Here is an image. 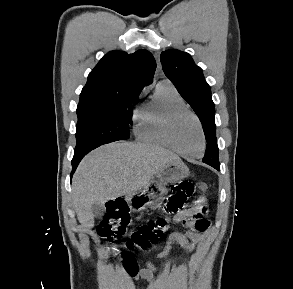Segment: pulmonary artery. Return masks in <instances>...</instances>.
<instances>
[{
	"mask_svg": "<svg viewBox=\"0 0 293 289\" xmlns=\"http://www.w3.org/2000/svg\"><path fill=\"white\" fill-rule=\"evenodd\" d=\"M165 82H167V81H163V82H161V83H165ZM169 83V82H168Z\"/></svg>",
	"mask_w": 293,
	"mask_h": 289,
	"instance_id": "1",
	"label": "pulmonary artery"
}]
</instances>
